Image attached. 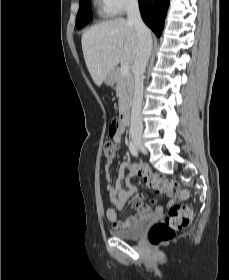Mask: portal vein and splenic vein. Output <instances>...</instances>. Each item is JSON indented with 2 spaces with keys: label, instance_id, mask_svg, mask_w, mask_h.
Instances as JSON below:
<instances>
[{
  "label": "portal vein and splenic vein",
  "instance_id": "portal-vein-and-splenic-vein-1",
  "mask_svg": "<svg viewBox=\"0 0 229 280\" xmlns=\"http://www.w3.org/2000/svg\"><path fill=\"white\" fill-rule=\"evenodd\" d=\"M120 72L124 76L128 75L129 74V65L128 64H122Z\"/></svg>",
  "mask_w": 229,
  "mask_h": 280
}]
</instances>
